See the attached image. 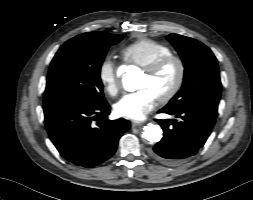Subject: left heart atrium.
Returning a JSON list of instances; mask_svg holds the SVG:
<instances>
[{
	"label": "left heart atrium",
	"mask_w": 253,
	"mask_h": 200,
	"mask_svg": "<svg viewBox=\"0 0 253 200\" xmlns=\"http://www.w3.org/2000/svg\"><path fill=\"white\" fill-rule=\"evenodd\" d=\"M157 97L147 88L139 89L123 96L115 104V112L120 117L140 121L155 107Z\"/></svg>",
	"instance_id": "obj_1"
}]
</instances>
